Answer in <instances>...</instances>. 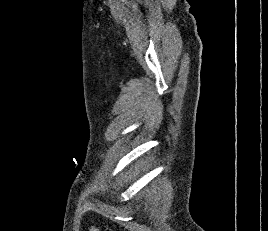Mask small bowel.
Segmentation results:
<instances>
[{
    "label": "small bowel",
    "mask_w": 268,
    "mask_h": 231,
    "mask_svg": "<svg viewBox=\"0 0 268 231\" xmlns=\"http://www.w3.org/2000/svg\"><path fill=\"white\" fill-rule=\"evenodd\" d=\"M89 231H98V229H97L96 227H94V226H91V227L89 228Z\"/></svg>",
    "instance_id": "c3829d8e"
}]
</instances>
